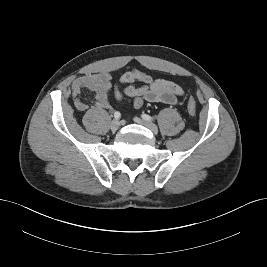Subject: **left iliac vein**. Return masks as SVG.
<instances>
[{"mask_svg":"<svg viewBox=\"0 0 267 267\" xmlns=\"http://www.w3.org/2000/svg\"><path fill=\"white\" fill-rule=\"evenodd\" d=\"M134 121L138 124H141V125H144L146 126L147 128H149L154 134H157L158 133V128L155 124L149 122V121H144L138 117H135L134 118Z\"/></svg>","mask_w":267,"mask_h":267,"instance_id":"obj_1","label":"left iliac vein"}]
</instances>
